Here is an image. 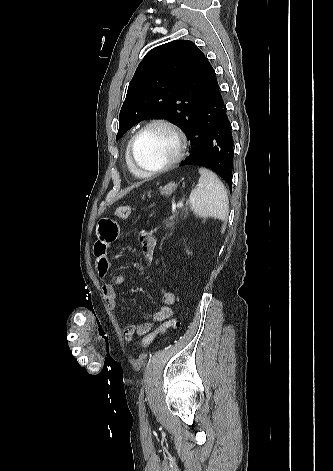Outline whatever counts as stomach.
<instances>
[{
    "label": "stomach",
    "instance_id": "stomach-1",
    "mask_svg": "<svg viewBox=\"0 0 333 471\" xmlns=\"http://www.w3.org/2000/svg\"><path fill=\"white\" fill-rule=\"evenodd\" d=\"M176 185L174 183H168L161 189V193L163 194H171L172 191L175 189ZM148 196H150V193H148Z\"/></svg>",
    "mask_w": 333,
    "mask_h": 471
}]
</instances>
